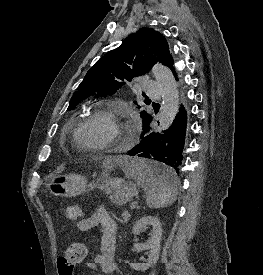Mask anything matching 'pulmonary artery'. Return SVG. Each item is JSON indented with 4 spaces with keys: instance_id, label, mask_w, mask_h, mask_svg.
Listing matches in <instances>:
<instances>
[{
    "instance_id": "e3ab8cb5",
    "label": "pulmonary artery",
    "mask_w": 263,
    "mask_h": 275,
    "mask_svg": "<svg viewBox=\"0 0 263 275\" xmlns=\"http://www.w3.org/2000/svg\"><path fill=\"white\" fill-rule=\"evenodd\" d=\"M145 92L154 98H159L161 94L160 86L155 81H147L144 85Z\"/></svg>"
}]
</instances>
